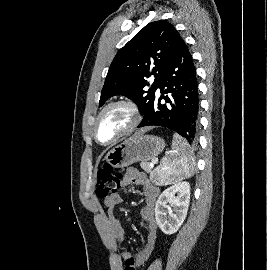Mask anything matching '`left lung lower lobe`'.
<instances>
[{
	"instance_id": "left-lung-lower-lobe-1",
	"label": "left lung lower lobe",
	"mask_w": 267,
	"mask_h": 270,
	"mask_svg": "<svg viewBox=\"0 0 267 270\" xmlns=\"http://www.w3.org/2000/svg\"><path fill=\"white\" fill-rule=\"evenodd\" d=\"M155 97L138 127L162 126L181 135L191 145L197 141L199 93L192 56L179 43ZM164 99L165 103H161Z\"/></svg>"
}]
</instances>
